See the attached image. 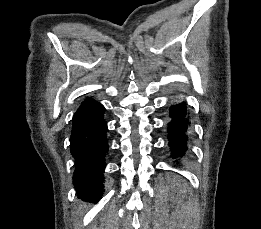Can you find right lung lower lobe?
Instances as JSON below:
<instances>
[{"mask_svg": "<svg viewBox=\"0 0 261 229\" xmlns=\"http://www.w3.org/2000/svg\"><path fill=\"white\" fill-rule=\"evenodd\" d=\"M103 105L86 99L72 119L70 151L75 160L73 183L79 197L99 199L104 190L105 156L108 152L107 124Z\"/></svg>", "mask_w": 261, "mask_h": 229, "instance_id": "1", "label": "right lung lower lobe"}]
</instances>
